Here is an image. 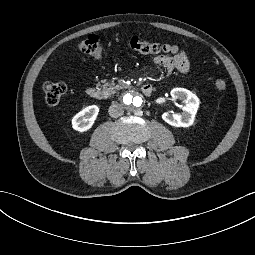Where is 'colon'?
Masks as SVG:
<instances>
[{
  "label": "colon",
  "instance_id": "obj_1",
  "mask_svg": "<svg viewBox=\"0 0 255 255\" xmlns=\"http://www.w3.org/2000/svg\"><path fill=\"white\" fill-rule=\"evenodd\" d=\"M129 47L132 51L140 54H176L179 49L176 46L169 44H161L151 42L139 37H132L129 40ZM78 49L81 53L88 55L94 59L102 57L103 49L96 35H89L78 44ZM215 89L223 91L226 88V82L222 79H217L214 83ZM67 87L61 81H47L43 85L45 100L47 104L57 105L62 96L66 93Z\"/></svg>",
  "mask_w": 255,
  "mask_h": 255
}]
</instances>
